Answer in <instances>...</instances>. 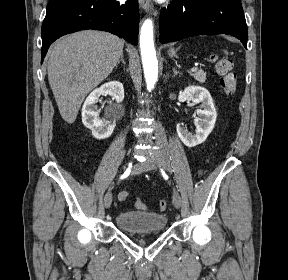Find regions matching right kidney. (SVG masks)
Segmentation results:
<instances>
[{
	"instance_id": "ca27d5eb",
	"label": "right kidney",
	"mask_w": 288,
	"mask_h": 280,
	"mask_svg": "<svg viewBox=\"0 0 288 280\" xmlns=\"http://www.w3.org/2000/svg\"><path fill=\"white\" fill-rule=\"evenodd\" d=\"M110 95L117 103L124 99V88L122 83L111 81L103 84L100 88L93 90L86 98L82 108V122L92 131V135L97 139L108 138L114 128V121H107L99 118L100 109L97 108V101L101 95Z\"/></svg>"
}]
</instances>
